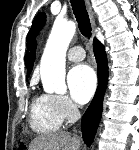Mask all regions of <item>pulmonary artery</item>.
<instances>
[{"label": "pulmonary artery", "mask_w": 139, "mask_h": 150, "mask_svg": "<svg viewBox=\"0 0 139 150\" xmlns=\"http://www.w3.org/2000/svg\"><path fill=\"white\" fill-rule=\"evenodd\" d=\"M67 57L70 61L78 62L85 58V51L80 46H75L69 49Z\"/></svg>", "instance_id": "pulmonary-artery-1"}]
</instances>
